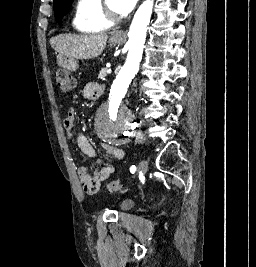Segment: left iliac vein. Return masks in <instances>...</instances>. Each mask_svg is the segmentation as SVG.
<instances>
[{
  "instance_id": "left-iliac-vein-1",
  "label": "left iliac vein",
  "mask_w": 256,
  "mask_h": 267,
  "mask_svg": "<svg viewBox=\"0 0 256 267\" xmlns=\"http://www.w3.org/2000/svg\"><path fill=\"white\" fill-rule=\"evenodd\" d=\"M138 168H139V171L142 173V174H145L148 170V161L143 159L139 162V165H138Z\"/></svg>"
}]
</instances>
